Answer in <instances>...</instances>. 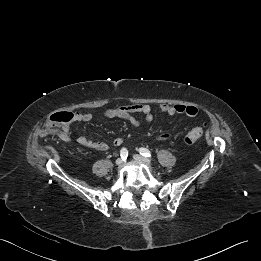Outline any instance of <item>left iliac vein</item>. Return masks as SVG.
<instances>
[{"label":"left iliac vein","mask_w":261,"mask_h":261,"mask_svg":"<svg viewBox=\"0 0 261 261\" xmlns=\"http://www.w3.org/2000/svg\"><path fill=\"white\" fill-rule=\"evenodd\" d=\"M133 158L138 162L148 164V165L151 164V161L148 158H145L141 155L136 154V155L133 156Z\"/></svg>","instance_id":"1"}]
</instances>
